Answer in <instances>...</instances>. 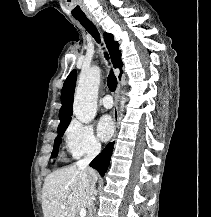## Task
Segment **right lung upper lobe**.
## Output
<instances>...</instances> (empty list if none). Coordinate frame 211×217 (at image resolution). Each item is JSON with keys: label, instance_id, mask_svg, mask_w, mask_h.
Returning a JSON list of instances; mask_svg holds the SVG:
<instances>
[{"label": "right lung upper lobe", "instance_id": "right-lung-upper-lobe-1", "mask_svg": "<svg viewBox=\"0 0 211 217\" xmlns=\"http://www.w3.org/2000/svg\"><path fill=\"white\" fill-rule=\"evenodd\" d=\"M104 40L110 52L113 66L121 70V73L119 75L120 78L122 74L123 63L121 61V52L118 48L119 45L117 42L114 41L113 35L106 32L104 33ZM76 75H77L76 70H72L64 82L62 92H61L62 107L59 112L60 124L58 126V129L66 125H69L70 123L71 115H72V104L74 98L75 84H76Z\"/></svg>", "mask_w": 211, "mask_h": 217}]
</instances>
